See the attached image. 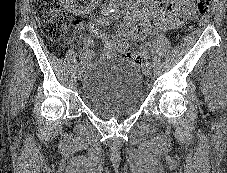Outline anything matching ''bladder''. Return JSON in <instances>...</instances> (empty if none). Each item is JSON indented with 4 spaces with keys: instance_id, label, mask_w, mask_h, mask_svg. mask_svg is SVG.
I'll return each instance as SVG.
<instances>
[{
    "instance_id": "bladder-1",
    "label": "bladder",
    "mask_w": 227,
    "mask_h": 173,
    "mask_svg": "<svg viewBox=\"0 0 227 173\" xmlns=\"http://www.w3.org/2000/svg\"><path fill=\"white\" fill-rule=\"evenodd\" d=\"M144 96L137 65L124 59H108L85 76L80 97L95 115L118 119L134 113Z\"/></svg>"
}]
</instances>
